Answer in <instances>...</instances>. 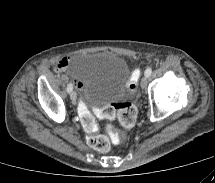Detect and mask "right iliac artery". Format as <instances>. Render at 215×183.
Masks as SVG:
<instances>
[{"label": "right iliac artery", "instance_id": "1", "mask_svg": "<svg viewBox=\"0 0 215 183\" xmlns=\"http://www.w3.org/2000/svg\"><path fill=\"white\" fill-rule=\"evenodd\" d=\"M73 90V85L70 83L67 86V92L70 93Z\"/></svg>", "mask_w": 215, "mask_h": 183}]
</instances>
